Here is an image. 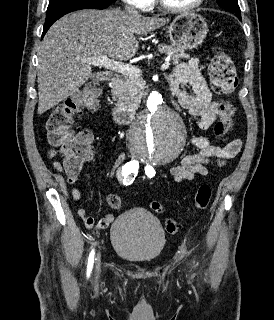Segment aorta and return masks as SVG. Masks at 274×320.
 I'll list each match as a JSON object with an SVG mask.
<instances>
[{
    "mask_svg": "<svg viewBox=\"0 0 274 320\" xmlns=\"http://www.w3.org/2000/svg\"><path fill=\"white\" fill-rule=\"evenodd\" d=\"M186 129L180 116L157 91L150 93L147 108L140 113L130 129V138L138 154L153 162L176 159L185 144Z\"/></svg>",
    "mask_w": 274,
    "mask_h": 320,
    "instance_id": "1",
    "label": "aorta"
}]
</instances>
